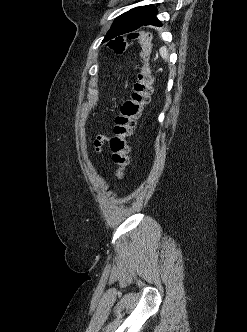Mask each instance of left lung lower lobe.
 I'll return each instance as SVG.
<instances>
[{"mask_svg": "<svg viewBox=\"0 0 247 332\" xmlns=\"http://www.w3.org/2000/svg\"><path fill=\"white\" fill-rule=\"evenodd\" d=\"M157 10L152 6H143L133 18L122 25L119 35L136 31L144 25L161 26V22L156 17ZM136 34H129V38H133Z\"/></svg>", "mask_w": 247, "mask_h": 332, "instance_id": "0a47b994", "label": "left lung lower lobe"}]
</instances>
